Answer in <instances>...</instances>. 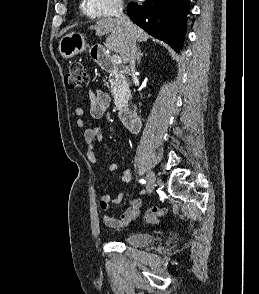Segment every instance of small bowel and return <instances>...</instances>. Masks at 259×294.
<instances>
[{
	"mask_svg": "<svg viewBox=\"0 0 259 294\" xmlns=\"http://www.w3.org/2000/svg\"><path fill=\"white\" fill-rule=\"evenodd\" d=\"M90 97V115L93 119L99 121L102 119L104 113L110 105V96L102 91L98 90L96 92H91ZM74 114L77 117L76 124L79 128H85V122L83 120L84 109L77 107L74 110ZM102 127L96 125L93 127L85 128L84 131V142L87 148V156L93 164H98L95 155V144L101 138ZM109 171H117L118 167L116 164L111 163L108 165ZM132 178L131 172L129 170H124L120 174V180L122 182H129ZM121 202L120 197H111L109 194H102L99 200V206L103 211H108L110 205L119 204ZM143 200L141 197H136L131 200L128 209L121 215L120 218H114L110 215L105 214L103 216V221L106 226L114 229H121L127 227L131 223L137 220L140 209L142 207Z\"/></svg>",
	"mask_w": 259,
	"mask_h": 294,
	"instance_id": "1",
	"label": "small bowel"
}]
</instances>
